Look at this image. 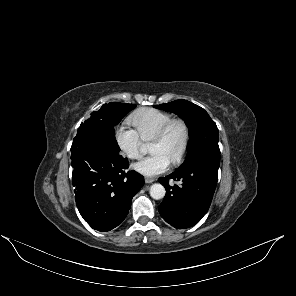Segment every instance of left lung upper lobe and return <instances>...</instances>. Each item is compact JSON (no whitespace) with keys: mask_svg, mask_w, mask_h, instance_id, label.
Here are the masks:
<instances>
[{"mask_svg":"<svg viewBox=\"0 0 296 296\" xmlns=\"http://www.w3.org/2000/svg\"><path fill=\"white\" fill-rule=\"evenodd\" d=\"M155 107L178 114L190 128L188 153L179 168L202 157L220 155L218 128L203 108L186 100H176Z\"/></svg>","mask_w":296,"mask_h":296,"instance_id":"obj_1","label":"left lung upper lobe"}]
</instances>
